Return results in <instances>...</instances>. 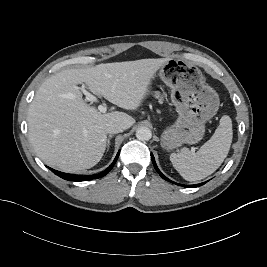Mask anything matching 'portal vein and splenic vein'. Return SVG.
Segmentation results:
<instances>
[{
	"label": "portal vein and splenic vein",
	"instance_id": "1",
	"mask_svg": "<svg viewBox=\"0 0 267 267\" xmlns=\"http://www.w3.org/2000/svg\"><path fill=\"white\" fill-rule=\"evenodd\" d=\"M81 91L83 92V94L85 95V101H90V102H95L97 101L96 97L93 96L92 94H90L84 87H81L80 88ZM98 110L101 112V113H105L107 111V108L105 105L103 104H100L98 106Z\"/></svg>",
	"mask_w": 267,
	"mask_h": 267
}]
</instances>
